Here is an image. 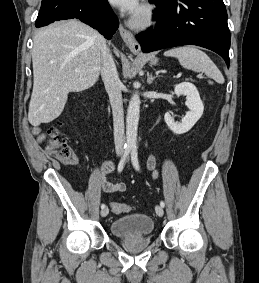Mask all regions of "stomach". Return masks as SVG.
Segmentation results:
<instances>
[{"label":"stomach","instance_id":"obj_1","mask_svg":"<svg viewBox=\"0 0 259 283\" xmlns=\"http://www.w3.org/2000/svg\"><path fill=\"white\" fill-rule=\"evenodd\" d=\"M157 62H158V60H157L156 58H152V59L150 60V63H151L152 65L157 64Z\"/></svg>","mask_w":259,"mask_h":283}]
</instances>
